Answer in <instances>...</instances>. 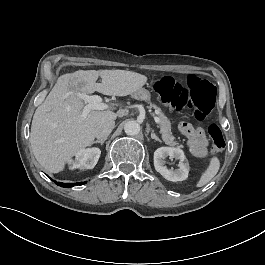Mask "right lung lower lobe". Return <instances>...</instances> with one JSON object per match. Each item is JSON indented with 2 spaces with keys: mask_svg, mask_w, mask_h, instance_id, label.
<instances>
[{
  "mask_svg": "<svg viewBox=\"0 0 265 265\" xmlns=\"http://www.w3.org/2000/svg\"><path fill=\"white\" fill-rule=\"evenodd\" d=\"M55 183L61 187H73L74 185H83L85 184L86 182H80V183H76V184H73V183H61V182H56Z\"/></svg>",
  "mask_w": 265,
  "mask_h": 265,
  "instance_id": "right-lung-lower-lobe-1",
  "label": "right lung lower lobe"
}]
</instances>
